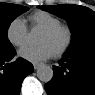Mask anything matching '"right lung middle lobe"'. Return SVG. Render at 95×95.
Instances as JSON below:
<instances>
[{
  "mask_svg": "<svg viewBox=\"0 0 95 95\" xmlns=\"http://www.w3.org/2000/svg\"><path fill=\"white\" fill-rule=\"evenodd\" d=\"M28 10L25 6L10 3H0V53L14 49L7 39V30L11 22L20 14Z\"/></svg>",
  "mask_w": 95,
  "mask_h": 95,
  "instance_id": "right-lung-middle-lobe-1",
  "label": "right lung middle lobe"
}]
</instances>
